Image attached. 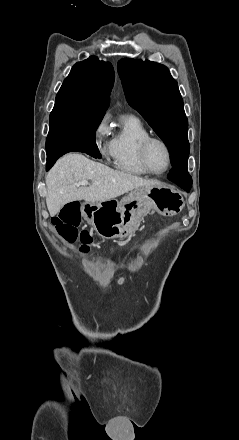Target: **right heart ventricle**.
Here are the masks:
<instances>
[{"instance_id": "right-heart-ventricle-1", "label": "right heart ventricle", "mask_w": 239, "mask_h": 440, "mask_svg": "<svg viewBox=\"0 0 239 440\" xmlns=\"http://www.w3.org/2000/svg\"><path fill=\"white\" fill-rule=\"evenodd\" d=\"M150 136L149 130L135 116H127L123 127L112 139L111 164L126 173L135 175L149 174L139 157L140 142Z\"/></svg>"}]
</instances>
